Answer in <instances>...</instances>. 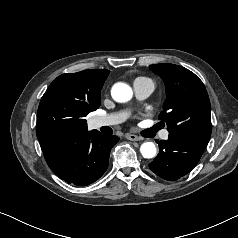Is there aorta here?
Here are the masks:
<instances>
[{"label": "aorta", "mask_w": 238, "mask_h": 238, "mask_svg": "<svg viewBox=\"0 0 238 238\" xmlns=\"http://www.w3.org/2000/svg\"><path fill=\"white\" fill-rule=\"evenodd\" d=\"M111 95L116 102H127L132 98L133 91L129 85L119 82L113 85ZM140 152L144 158L150 159L156 156L157 149L153 142H145Z\"/></svg>", "instance_id": "1"}]
</instances>
